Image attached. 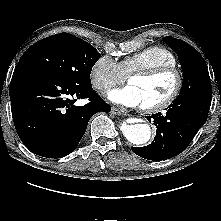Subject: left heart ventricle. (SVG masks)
<instances>
[{
    "mask_svg": "<svg viewBox=\"0 0 221 221\" xmlns=\"http://www.w3.org/2000/svg\"><path fill=\"white\" fill-rule=\"evenodd\" d=\"M176 78L164 74L153 78L134 77L129 84L134 86L142 101V106H149L167 98L174 89Z\"/></svg>",
    "mask_w": 221,
    "mask_h": 221,
    "instance_id": "b2bd125f",
    "label": "left heart ventricle"
}]
</instances>
